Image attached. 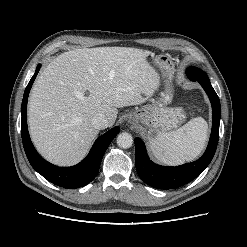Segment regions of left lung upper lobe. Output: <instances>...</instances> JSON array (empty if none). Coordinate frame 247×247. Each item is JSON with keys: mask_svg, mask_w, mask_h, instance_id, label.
<instances>
[{"mask_svg": "<svg viewBox=\"0 0 247 247\" xmlns=\"http://www.w3.org/2000/svg\"><path fill=\"white\" fill-rule=\"evenodd\" d=\"M186 72L194 73V74L203 76L205 78H208L207 74L204 71H202V70H200L199 68H196V67H189Z\"/></svg>", "mask_w": 247, "mask_h": 247, "instance_id": "left-lung-upper-lobe-1", "label": "left lung upper lobe"}]
</instances>
